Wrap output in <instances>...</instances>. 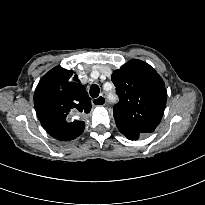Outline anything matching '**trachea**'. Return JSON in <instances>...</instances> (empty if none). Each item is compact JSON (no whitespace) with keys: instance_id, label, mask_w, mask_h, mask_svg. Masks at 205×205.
Segmentation results:
<instances>
[{"instance_id":"obj_1","label":"trachea","mask_w":205,"mask_h":205,"mask_svg":"<svg viewBox=\"0 0 205 205\" xmlns=\"http://www.w3.org/2000/svg\"><path fill=\"white\" fill-rule=\"evenodd\" d=\"M99 92H100V89H99L98 85H92L90 90H89V93H90L91 97H93V98L98 97Z\"/></svg>"}]
</instances>
